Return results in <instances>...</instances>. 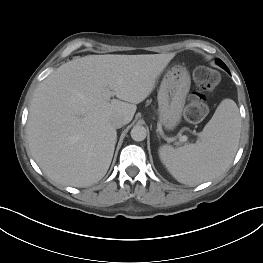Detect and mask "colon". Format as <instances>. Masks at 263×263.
I'll use <instances>...</instances> for the list:
<instances>
[{
    "label": "colon",
    "mask_w": 263,
    "mask_h": 263,
    "mask_svg": "<svg viewBox=\"0 0 263 263\" xmlns=\"http://www.w3.org/2000/svg\"><path fill=\"white\" fill-rule=\"evenodd\" d=\"M197 91L189 96L185 108V118L189 123H199L208 114L206 95L212 92L220 82L219 73L211 68L200 66L194 71Z\"/></svg>",
    "instance_id": "colon-1"
}]
</instances>
